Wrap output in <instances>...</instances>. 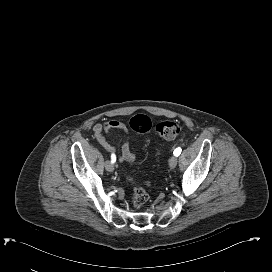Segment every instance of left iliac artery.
<instances>
[{
  "instance_id": "obj_1",
  "label": "left iliac artery",
  "mask_w": 272,
  "mask_h": 272,
  "mask_svg": "<svg viewBox=\"0 0 272 272\" xmlns=\"http://www.w3.org/2000/svg\"><path fill=\"white\" fill-rule=\"evenodd\" d=\"M181 148L180 147H178V148H176L175 150H174V152H173V154H174V156H179L180 154H181Z\"/></svg>"
}]
</instances>
